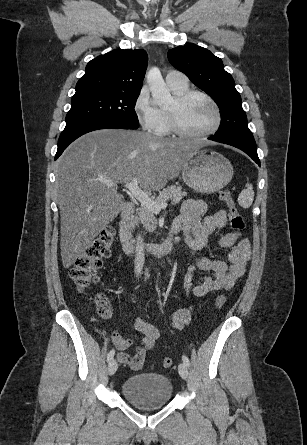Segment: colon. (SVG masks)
Wrapping results in <instances>:
<instances>
[{"label": "colon", "instance_id": "obj_1", "mask_svg": "<svg viewBox=\"0 0 307 445\" xmlns=\"http://www.w3.org/2000/svg\"><path fill=\"white\" fill-rule=\"evenodd\" d=\"M219 199L227 205L229 210V220L231 227L236 231L245 229V221L239 214L238 208L228 190L219 192ZM115 239V230L112 227L104 229L90 243L86 249L75 259L70 268V277L79 290L89 287L97 280V274L100 270L103 260L111 253V248ZM226 302L224 295H219L215 301L216 309H220ZM97 312L103 318H108L112 314V308L107 298L102 294L95 297ZM121 337L115 336V343L121 342ZM172 359L166 357L163 359V367L169 368L172 365Z\"/></svg>", "mask_w": 307, "mask_h": 445}]
</instances>
